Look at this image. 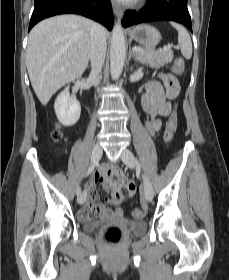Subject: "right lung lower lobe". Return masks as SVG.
<instances>
[{"mask_svg":"<svg viewBox=\"0 0 229 280\" xmlns=\"http://www.w3.org/2000/svg\"><path fill=\"white\" fill-rule=\"evenodd\" d=\"M66 13L91 18L106 26L108 30L113 26V12L109 0H35L28 31L42 19Z\"/></svg>","mask_w":229,"mask_h":280,"instance_id":"obj_1","label":"right lung lower lobe"}]
</instances>
